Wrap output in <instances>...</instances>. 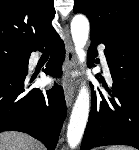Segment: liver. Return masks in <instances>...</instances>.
<instances>
[{
    "instance_id": "6515ba94",
    "label": "liver",
    "mask_w": 139,
    "mask_h": 150,
    "mask_svg": "<svg viewBox=\"0 0 139 150\" xmlns=\"http://www.w3.org/2000/svg\"><path fill=\"white\" fill-rule=\"evenodd\" d=\"M40 148L39 142L27 134L0 133V150H41Z\"/></svg>"
}]
</instances>
